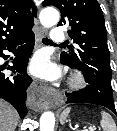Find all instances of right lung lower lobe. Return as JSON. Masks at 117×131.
Masks as SVG:
<instances>
[{"label":"right lung lower lobe","instance_id":"obj_1","mask_svg":"<svg viewBox=\"0 0 117 131\" xmlns=\"http://www.w3.org/2000/svg\"><path fill=\"white\" fill-rule=\"evenodd\" d=\"M34 44L35 36L34 33L31 32L20 40L0 48V57L6 59L7 56L3 54V50L7 49L8 51L15 52V48L18 45H22L20 47L21 53L17 55L12 62L13 66H7V64L0 65V98L11 103L16 108L21 118H24L28 111L25 104L26 91L32 79L26 74V67ZM5 70H10L14 73H24V75L18 74L15 77L7 76Z\"/></svg>","mask_w":117,"mask_h":131}]
</instances>
